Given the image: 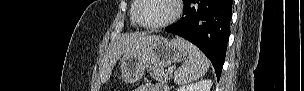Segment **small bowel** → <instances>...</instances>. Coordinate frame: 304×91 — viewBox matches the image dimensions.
I'll return each mask as SVG.
<instances>
[{
	"label": "small bowel",
	"mask_w": 304,
	"mask_h": 91,
	"mask_svg": "<svg viewBox=\"0 0 304 91\" xmlns=\"http://www.w3.org/2000/svg\"><path fill=\"white\" fill-rule=\"evenodd\" d=\"M168 87L163 83H146L139 88L137 91H168Z\"/></svg>",
	"instance_id": "1"
}]
</instances>
